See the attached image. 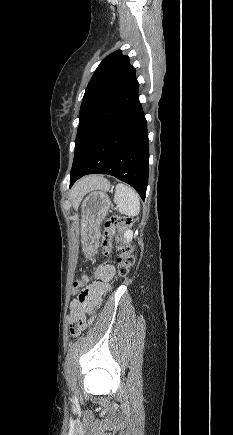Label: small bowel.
<instances>
[{"instance_id":"1","label":"small bowel","mask_w":233,"mask_h":435,"mask_svg":"<svg viewBox=\"0 0 233 435\" xmlns=\"http://www.w3.org/2000/svg\"><path fill=\"white\" fill-rule=\"evenodd\" d=\"M93 276L96 281L90 285L84 286L80 280L73 283V292H79L77 298L70 304L68 317L73 333L82 331L88 324L87 316L93 308L100 304V294L108 289L109 282L114 276V267L109 264H100Z\"/></svg>"}]
</instances>
